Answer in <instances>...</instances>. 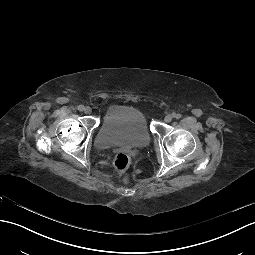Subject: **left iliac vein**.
<instances>
[{
  "label": "left iliac vein",
  "mask_w": 255,
  "mask_h": 255,
  "mask_svg": "<svg viewBox=\"0 0 255 255\" xmlns=\"http://www.w3.org/2000/svg\"><path fill=\"white\" fill-rule=\"evenodd\" d=\"M171 120H172V115H170V114L166 115L165 118H164V121H165L166 123L171 122Z\"/></svg>",
  "instance_id": "4c4485c4"
}]
</instances>
